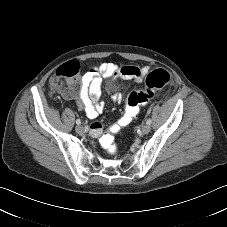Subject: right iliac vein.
Returning <instances> with one entry per match:
<instances>
[{"instance_id":"obj_1","label":"right iliac vein","mask_w":227,"mask_h":227,"mask_svg":"<svg viewBox=\"0 0 227 227\" xmlns=\"http://www.w3.org/2000/svg\"><path fill=\"white\" fill-rule=\"evenodd\" d=\"M75 131H76L78 134H82V133L84 132V128H83V126H81V125H77V126L75 127Z\"/></svg>"}]
</instances>
